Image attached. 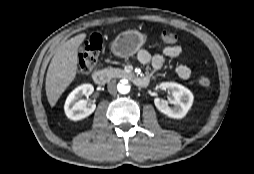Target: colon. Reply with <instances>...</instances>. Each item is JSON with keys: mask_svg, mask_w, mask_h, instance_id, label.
Listing matches in <instances>:
<instances>
[{"mask_svg": "<svg viewBox=\"0 0 254 174\" xmlns=\"http://www.w3.org/2000/svg\"><path fill=\"white\" fill-rule=\"evenodd\" d=\"M159 34L162 40L167 44L174 45L178 41L177 34L172 31L161 30ZM101 49L102 38L100 35L94 34L85 41L82 51L78 56V72L80 74H87L97 66ZM198 82L204 88H209L211 86V80L207 76L199 77Z\"/></svg>", "mask_w": 254, "mask_h": 174, "instance_id": "1", "label": "colon"}]
</instances>
